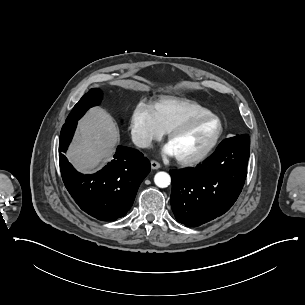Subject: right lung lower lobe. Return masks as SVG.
Returning a JSON list of instances; mask_svg holds the SVG:
<instances>
[{
	"instance_id": "right-lung-lower-lobe-1",
	"label": "right lung lower lobe",
	"mask_w": 305,
	"mask_h": 305,
	"mask_svg": "<svg viewBox=\"0 0 305 305\" xmlns=\"http://www.w3.org/2000/svg\"><path fill=\"white\" fill-rule=\"evenodd\" d=\"M78 120L66 122L59 139V163L63 182L79 207L98 220H116L131 208L139 185L150 172V162L136 149L118 146L114 160L95 174L77 172L63 153Z\"/></svg>"
}]
</instances>
